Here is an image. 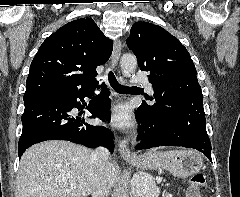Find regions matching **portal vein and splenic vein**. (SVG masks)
Instances as JSON below:
<instances>
[{
	"label": "portal vein and splenic vein",
	"mask_w": 240,
	"mask_h": 197,
	"mask_svg": "<svg viewBox=\"0 0 240 197\" xmlns=\"http://www.w3.org/2000/svg\"><path fill=\"white\" fill-rule=\"evenodd\" d=\"M70 187H71L72 189H75V188L77 187V185H76V184H71Z\"/></svg>",
	"instance_id": "1"
}]
</instances>
